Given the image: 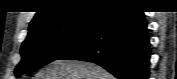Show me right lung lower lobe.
<instances>
[{"label": "right lung lower lobe", "instance_id": "obj_1", "mask_svg": "<svg viewBox=\"0 0 177 79\" xmlns=\"http://www.w3.org/2000/svg\"><path fill=\"white\" fill-rule=\"evenodd\" d=\"M59 59L96 63L118 79H148L150 43L143 12L128 6L105 10L89 35Z\"/></svg>", "mask_w": 177, "mask_h": 79}]
</instances>
